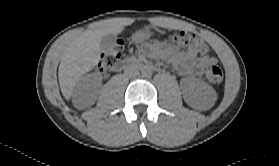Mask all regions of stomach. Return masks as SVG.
<instances>
[{
	"instance_id": "stomach-1",
	"label": "stomach",
	"mask_w": 279,
	"mask_h": 166,
	"mask_svg": "<svg viewBox=\"0 0 279 166\" xmlns=\"http://www.w3.org/2000/svg\"><path fill=\"white\" fill-rule=\"evenodd\" d=\"M152 35L151 28L146 26L135 31L131 36V42L135 44H140L147 41Z\"/></svg>"
}]
</instances>
